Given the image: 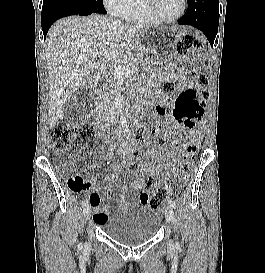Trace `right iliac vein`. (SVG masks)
<instances>
[{"mask_svg":"<svg viewBox=\"0 0 265 273\" xmlns=\"http://www.w3.org/2000/svg\"><path fill=\"white\" fill-rule=\"evenodd\" d=\"M84 217L86 220H89L91 217V207L90 206H86L84 211H83Z\"/></svg>","mask_w":265,"mask_h":273,"instance_id":"63e3f726","label":"right iliac vein"}]
</instances>
